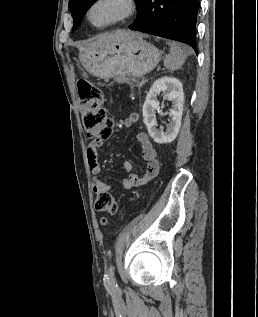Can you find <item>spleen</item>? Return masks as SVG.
<instances>
[{"mask_svg": "<svg viewBox=\"0 0 258 317\" xmlns=\"http://www.w3.org/2000/svg\"><path fill=\"white\" fill-rule=\"evenodd\" d=\"M170 48V54H167L164 58V66L171 68V70H177L185 62L187 54H191L192 50L188 46L181 48L175 42H170Z\"/></svg>", "mask_w": 258, "mask_h": 317, "instance_id": "obj_1", "label": "spleen"}]
</instances>
